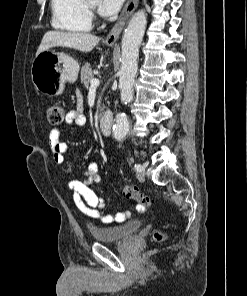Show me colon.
<instances>
[{"label":"colon","instance_id":"obj_1","mask_svg":"<svg viewBox=\"0 0 247 296\" xmlns=\"http://www.w3.org/2000/svg\"><path fill=\"white\" fill-rule=\"evenodd\" d=\"M65 118L64 109L59 104H50L46 109V120L51 126H60ZM123 195L135 201H138L142 206L149 207L153 205L154 201L144 194H142L136 187L124 185ZM164 233L161 230L154 232V239L158 242L164 239Z\"/></svg>","mask_w":247,"mask_h":296}]
</instances>
